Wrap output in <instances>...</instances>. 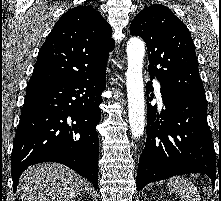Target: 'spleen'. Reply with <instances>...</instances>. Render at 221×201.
<instances>
[{"label":"spleen","mask_w":221,"mask_h":201,"mask_svg":"<svg viewBox=\"0 0 221 201\" xmlns=\"http://www.w3.org/2000/svg\"><path fill=\"white\" fill-rule=\"evenodd\" d=\"M167 187L178 195L183 201L201 200L197 187L183 177H176L169 180Z\"/></svg>","instance_id":"3e777b00"}]
</instances>
